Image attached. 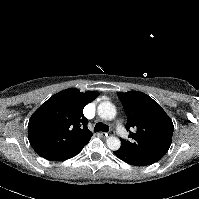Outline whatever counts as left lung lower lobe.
Returning a JSON list of instances; mask_svg holds the SVG:
<instances>
[{"label":"left lung lower lobe","mask_w":199,"mask_h":199,"mask_svg":"<svg viewBox=\"0 0 199 199\" xmlns=\"http://www.w3.org/2000/svg\"><path fill=\"white\" fill-rule=\"evenodd\" d=\"M113 153L124 162L135 166H147L157 162V160L151 157L133 152L122 146L118 150L113 151Z\"/></svg>","instance_id":"1"}]
</instances>
